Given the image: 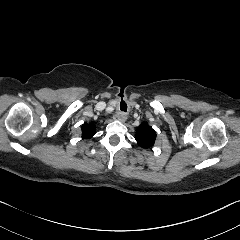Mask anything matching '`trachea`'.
<instances>
[{
    "instance_id": "obj_1",
    "label": "trachea",
    "mask_w": 240,
    "mask_h": 240,
    "mask_svg": "<svg viewBox=\"0 0 240 240\" xmlns=\"http://www.w3.org/2000/svg\"><path fill=\"white\" fill-rule=\"evenodd\" d=\"M120 108L122 111H126L127 110V104L125 102H121Z\"/></svg>"
}]
</instances>
